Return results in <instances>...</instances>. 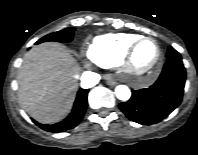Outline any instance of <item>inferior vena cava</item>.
Segmentation results:
<instances>
[{
  "mask_svg": "<svg viewBox=\"0 0 198 155\" xmlns=\"http://www.w3.org/2000/svg\"><path fill=\"white\" fill-rule=\"evenodd\" d=\"M100 80V76L94 72H84L81 76V84L88 88L95 86Z\"/></svg>",
  "mask_w": 198,
  "mask_h": 155,
  "instance_id": "obj_1",
  "label": "inferior vena cava"
}]
</instances>
